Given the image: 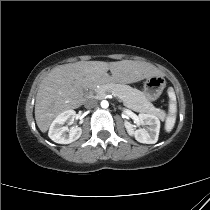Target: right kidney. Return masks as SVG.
I'll return each mask as SVG.
<instances>
[{
	"mask_svg": "<svg viewBox=\"0 0 210 210\" xmlns=\"http://www.w3.org/2000/svg\"><path fill=\"white\" fill-rule=\"evenodd\" d=\"M75 115L74 110H67L59 114L49 128V138L60 144H69L77 140L82 134V129L77 126L69 129L68 126H64L65 123H73Z\"/></svg>",
	"mask_w": 210,
	"mask_h": 210,
	"instance_id": "ca27d5eb",
	"label": "right kidney"
}]
</instances>
